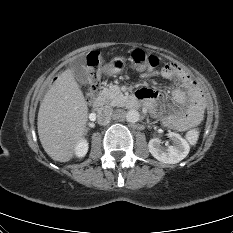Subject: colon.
<instances>
[{"label":"colon","mask_w":233,"mask_h":233,"mask_svg":"<svg viewBox=\"0 0 233 233\" xmlns=\"http://www.w3.org/2000/svg\"><path fill=\"white\" fill-rule=\"evenodd\" d=\"M131 59L135 66L143 71H152L159 65V59L144 50L135 49L131 52ZM89 62L92 65L98 64V56L94 53L90 54L88 57ZM102 87V80L97 74L92 75L89 81L87 98L90 100L93 98L96 92H98ZM199 138V132L196 129L190 130L186 134V139L190 144H195Z\"/></svg>","instance_id":"obj_1"}]
</instances>
